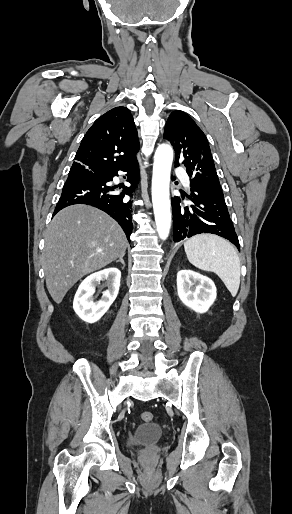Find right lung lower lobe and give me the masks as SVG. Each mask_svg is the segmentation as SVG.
Returning a JSON list of instances; mask_svg holds the SVG:
<instances>
[{
    "instance_id": "right-lung-lower-lobe-1",
    "label": "right lung lower lobe",
    "mask_w": 292,
    "mask_h": 514,
    "mask_svg": "<svg viewBox=\"0 0 292 514\" xmlns=\"http://www.w3.org/2000/svg\"><path fill=\"white\" fill-rule=\"evenodd\" d=\"M118 171L127 172V181L130 186L121 188L112 186L108 182L118 176ZM139 183V164L134 161L130 165L107 173H73L69 174L62 195L55 207L53 216L61 209L73 204H87L97 207L112 218L123 228L128 240L132 233V197Z\"/></svg>"
}]
</instances>
